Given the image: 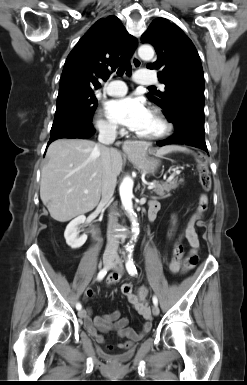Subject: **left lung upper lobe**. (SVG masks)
<instances>
[{
    "label": "left lung upper lobe",
    "mask_w": 247,
    "mask_h": 385,
    "mask_svg": "<svg viewBox=\"0 0 247 385\" xmlns=\"http://www.w3.org/2000/svg\"><path fill=\"white\" fill-rule=\"evenodd\" d=\"M150 43L158 54L149 69L159 70V81L165 91L149 94V100L165 111L170 120L179 110L204 112V75L198 52L192 41L175 24L165 18L153 20L141 37Z\"/></svg>",
    "instance_id": "1"
}]
</instances>
